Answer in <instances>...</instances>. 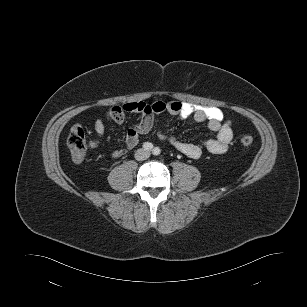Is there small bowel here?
<instances>
[{
    "label": "small bowel",
    "instance_id": "obj_1",
    "mask_svg": "<svg viewBox=\"0 0 307 307\" xmlns=\"http://www.w3.org/2000/svg\"><path fill=\"white\" fill-rule=\"evenodd\" d=\"M127 113H136L139 115V119L135 126L128 129L125 147L112 153L114 158L121 157L128 150L133 149L138 144L140 135L147 134L152 130L155 115L161 113L175 115L181 119L192 117L198 123H206L208 129L215 133V138L205 140L201 144L181 141L174 135L159 133L161 139L167 140L173 147L189 158H200L204 150L212 154H223L228 150L233 137L230 121H224L223 111L214 106H201L179 101H157L154 103L135 101L110 108L107 116L114 122L122 123ZM94 130L96 138L91 141V147H96L100 138L104 135L105 125L102 119L99 118L95 121Z\"/></svg>",
    "mask_w": 307,
    "mask_h": 307
}]
</instances>
